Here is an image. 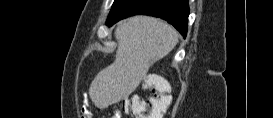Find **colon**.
Returning <instances> with one entry per match:
<instances>
[{
    "instance_id": "5ec220e1",
    "label": "colon",
    "mask_w": 273,
    "mask_h": 118,
    "mask_svg": "<svg viewBox=\"0 0 273 118\" xmlns=\"http://www.w3.org/2000/svg\"><path fill=\"white\" fill-rule=\"evenodd\" d=\"M148 86L154 89V94L147 97L137 95L129 96L123 99L121 111L131 114L135 118H160L171 103V97L168 94L169 86L159 81L155 86L153 78H147ZM84 118H88L89 114L85 113ZM112 117H117L113 115Z\"/></svg>"
}]
</instances>
